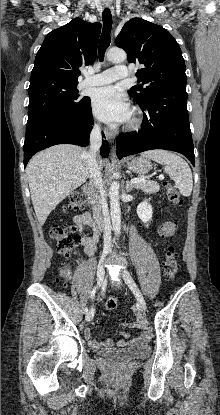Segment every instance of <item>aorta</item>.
I'll use <instances>...</instances> for the list:
<instances>
[{"label":"aorta","instance_id":"762f6f07","mask_svg":"<svg viewBox=\"0 0 220 415\" xmlns=\"http://www.w3.org/2000/svg\"><path fill=\"white\" fill-rule=\"evenodd\" d=\"M107 59L113 63H121L127 59L126 52L120 48H111L107 52ZM119 183L115 180L111 183L109 189L110 197V215L113 225V230L116 236L120 235L121 231V210L119 203Z\"/></svg>","mask_w":220,"mask_h":415}]
</instances>
